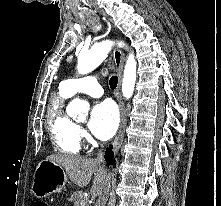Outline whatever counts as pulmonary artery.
<instances>
[{
  "label": "pulmonary artery",
  "mask_w": 221,
  "mask_h": 206,
  "mask_svg": "<svg viewBox=\"0 0 221 206\" xmlns=\"http://www.w3.org/2000/svg\"><path fill=\"white\" fill-rule=\"evenodd\" d=\"M62 87L64 91L71 96L78 93H85L92 97H100L103 95V89L99 81L91 75L66 80L62 82Z\"/></svg>",
  "instance_id": "obj_1"
}]
</instances>
